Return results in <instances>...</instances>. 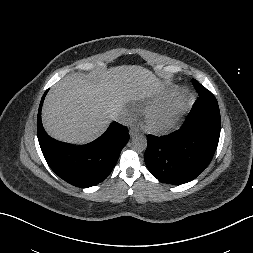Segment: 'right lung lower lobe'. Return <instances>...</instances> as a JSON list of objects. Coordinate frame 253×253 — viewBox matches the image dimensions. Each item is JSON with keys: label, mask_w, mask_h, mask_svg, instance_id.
I'll list each match as a JSON object with an SVG mask.
<instances>
[{"label": "right lung lower lobe", "mask_w": 253, "mask_h": 253, "mask_svg": "<svg viewBox=\"0 0 253 253\" xmlns=\"http://www.w3.org/2000/svg\"><path fill=\"white\" fill-rule=\"evenodd\" d=\"M46 93L38 110L37 135L48 165L60 178L74 186L86 188L100 183L110 174L128 142V130L112 122L102 136L89 144L70 146L56 141L46 134L41 123Z\"/></svg>", "instance_id": "obj_1"}]
</instances>
